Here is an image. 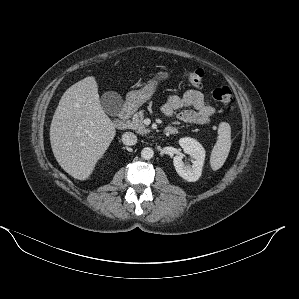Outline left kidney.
I'll return each mask as SVG.
<instances>
[{
	"mask_svg": "<svg viewBox=\"0 0 299 299\" xmlns=\"http://www.w3.org/2000/svg\"><path fill=\"white\" fill-rule=\"evenodd\" d=\"M179 144L184 153L190 155L194 160L192 165H186L183 162L182 155H176L173 158V164L180 177L189 182L197 181L202 174V167L205 160V149L195 139L185 137L179 140Z\"/></svg>",
	"mask_w": 299,
	"mask_h": 299,
	"instance_id": "obj_1",
	"label": "left kidney"
}]
</instances>
